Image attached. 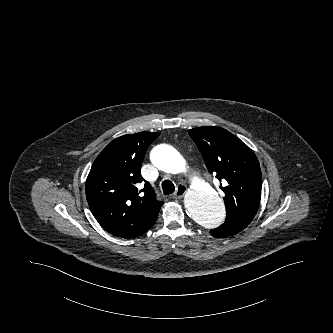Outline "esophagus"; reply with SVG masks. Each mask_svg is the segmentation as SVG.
<instances>
[{
	"mask_svg": "<svg viewBox=\"0 0 333 333\" xmlns=\"http://www.w3.org/2000/svg\"><path fill=\"white\" fill-rule=\"evenodd\" d=\"M187 192V187L183 184L177 186V191L172 195L174 199H181Z\"/></svg>",
	"mask_w": 333,
	"mask_h": 333,
	"instance_id": "obj_1",
	"label": "esophagus"
}]
</instances>
